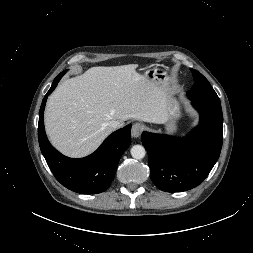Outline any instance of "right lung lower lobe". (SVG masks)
Instances as JSON below:
<instances>
[{"instance_id":"right-lung-lower-lobe-1","label":"right lung lower lobe","mask_w":253,"mask_h":253,"mask_svg":"<svg viewBox=\"0 0 253 253\" xmlns=\"http://www.w3.org/2000/svg\"><path fill=\"white\" fill-rule=\"evenodd\" d=\"M62 76L60 73L54 79L41 104L38 123L40 149L53 175L63 186L80 194L101 193L110 186L118 162L131 143V124L112 133L87 157L72 159L59 153L47 139L43 113L48 95L55 89Z\"/></svg>"}]
</instances>
